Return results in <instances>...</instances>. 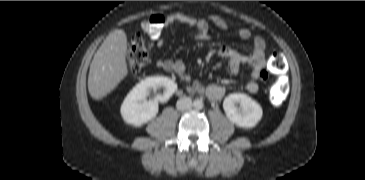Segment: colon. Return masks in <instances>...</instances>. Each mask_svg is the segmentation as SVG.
<instances>
[{"mask_svg":"<svg viewBox=\"0 0 365 180\" xmlns=\"http://www.w3.org/2000/svg\"><path fill=\"white\" fill-rule=\"evenodd\" d=\"M165 28V18L162 15H154L146 20L142 25V30L151 38H157L163 33ZM148 49L141 36L135 34L129 44L127 54V66L131 73L140 72L148 63ZM268 67L270 72L277 77L270 90V99L274 105H281L287 94V84L283 80L286 72V62L282 53L271 54Z\"/></svg>","mask_w":365,"mask_h":180,"instance_id":"colon-1","label":"colon"}]
</instances>
